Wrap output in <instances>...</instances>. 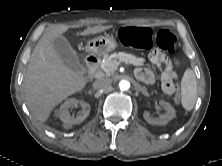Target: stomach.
Masks as SVG:
<instances>
[{
    "label": "stomach",
    "mask_w": 222,
    "mask_h": 166,
    "mask_svg": "<svg viewBox=\"0 0 222 166\" xmlns=\"http://www.w3.org/2000/svg\"><path fill=\"white\" fill-rule=\"evenodd\" d=\"M117 43L111 36H99L88 41L86 48L89 52L103 55L115 50Z\"/></svg>",
    "instance_id": "0dacf381"
}]
</instances>
